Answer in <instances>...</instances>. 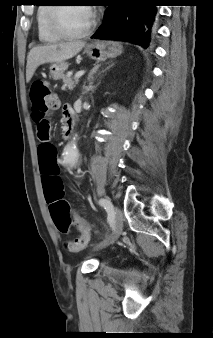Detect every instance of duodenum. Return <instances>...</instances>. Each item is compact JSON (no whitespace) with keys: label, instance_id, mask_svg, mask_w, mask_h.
I'll list each match as a JSON object with an SVG mask.
<instances>
[{"label":"duodenum","instance_id":"410a0bca","mask_svg":"<svg viewBox=\"0 0 213 338\" xmlns=\"http://www.w3.org/2000/svg\"><path fill=\"white\" fill-rule=\"evenodd\" d=\"M75 125H76V119L72 115H70L68 117V120L65 122L63 126L64 135H68L72 133L75 129Z\"/></svg>","mask_w":213,"mask_h":338}]
</instances>
